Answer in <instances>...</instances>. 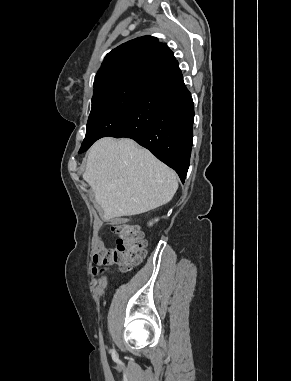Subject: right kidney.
<instances>
[{
	"label": "right kidney",
	"instance_id": "obj_1",
	"mask_svg": "<svg viewBox=\"0 0 291 381\" xmlns=\"http://www.w3.org/2000/svg\"><path fill=\"white\" fill-rule=\"evenodd\" d=\"M154 221H155V222H157V221H158V219H155ZM152 224H153V222H150V224H149V225L151 226Z\"/></svg>",
	"mask_w": 291,
	"mask_h": 381
}]
</instances>
